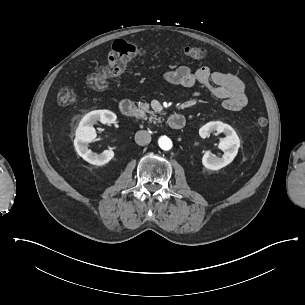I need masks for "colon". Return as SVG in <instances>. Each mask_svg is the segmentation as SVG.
<instances>
[{"label": "colon", "mask_w": 305, "mask_h": 305, "mask_svg": "<svg viewBox=\"0 0 305 305\" xmlns=\"http://www.w3.org/2000/svg\"><path fill=\"white\" fill-rule=\"evenodd\" d=\"M146 51L140 46L132 43H118L115 47L116 60L114 64L97 67L87 78V85L94 91H103L107 88L110 78L121 73L126 65L135 57L144 55ZM184 54L192 59L203 61L208 57V52L205 48L199 46H186ZM57 102L61 106H68L76 102V94L70 88H63L57 95ZM268 121L263 115L259 116L256 124L264 128Z\"/></svg>", "instance_id": "1"}]
</instances>
